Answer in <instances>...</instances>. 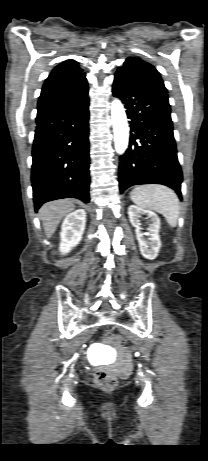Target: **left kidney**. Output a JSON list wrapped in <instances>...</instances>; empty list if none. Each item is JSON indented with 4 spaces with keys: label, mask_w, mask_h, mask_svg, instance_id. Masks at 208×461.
I'll return each instance as SVG.
<instances>
[{
    "label": "left kidney",
    "mask_w": 208,
    "mask_h": 461,
    "mask_svg": "<svg viewBox=\"0 0 208 461\" xmlns=\"http://www.w3.org/2000/svg\"><path fill=\"white\" fill-rule=\"evenodd\" d=\"M128 215L132 226L136 228V238L139 243L140 252L146 259L152 260L155 259L158 255L159 249L161 247V241L159 236L160 229V219L155 212L150 210L142 209L138 206L131 205L128 208ZM141 215H147L151 221L147 233L142 232L140 227L141 223L139 217ZM148 236L146 239L144 236Z\"/></svg>",
    "instance_id": "obj_1"
}]
</instances>
